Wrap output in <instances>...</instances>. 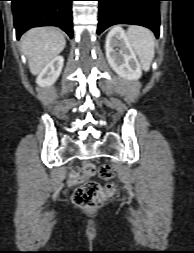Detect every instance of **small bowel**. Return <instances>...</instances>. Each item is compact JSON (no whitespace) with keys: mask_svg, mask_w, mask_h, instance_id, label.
Listing matches in <instances>:
<instances>
[{"mask_svg":"<svg viewBox=\"0 0 194 253\" xmlns=\"http://www.w3.org/2000/svg\"><path fill=\"white\" fill-rule=\"evenodd\" d=\"M80 181H81V177H80L79 172L77 170H73L69 175L68 184L70 186H74L78 184Z\"/></svg>","mask_w":194,"mask_h":253,"instance_id":"c3829d8e","label":"small bowel"}]
</instances>
